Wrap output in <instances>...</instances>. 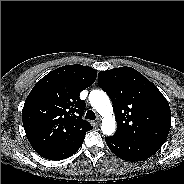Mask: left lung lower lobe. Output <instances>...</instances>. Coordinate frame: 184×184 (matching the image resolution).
Wrapping results in <instances>:
<instances>
[{
    "instance_id": "left-lung-lower-lobe-1",
    "label": "left lung lower lobe",
    "mask_w": 184,
    "mask_h": 184,
    "mask_svg": "<svg viewBox=\"0 0 184 184\" xmlns=\"http://www.w3.org/2000/svg\"><path fill=\"white\" fill-rule=\"evenodd\" d=\"M105 141L109 149L119 158L125 161H142L148 159L156 152L149 147L132 141L120 134L106 137Z\"/></svg>"
}]
</instances>
